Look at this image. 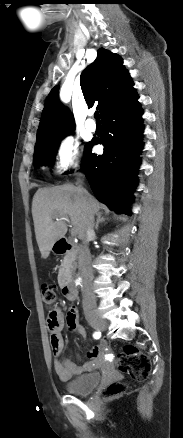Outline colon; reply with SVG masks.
I'll return each mask as SVG.
<instances>
[{
    "label": "colon",
    "mask_w": 183,
    "mask_h": 438,
    "mask_svg": "<svg viewBox=\"0 0 183 438\" xmlns=\"http://www.w3.org/2000/svg\"><path fill=\"white\" fill-rule=\"evenodd\" d=\"M41 292L43 302L47 306H52L56 301L54 287L49 284H43ZM116 365L121 372L128 374L131 378L137 381H144L151 371L149 358L131 345L125 346L119 353ZM125 389L126 386L123 382H114L106 387L102 394L106 398H112L122 394Z\"/></svg>",
    "instance_id": "colon-1"
}]
</instances>
